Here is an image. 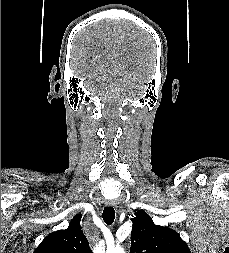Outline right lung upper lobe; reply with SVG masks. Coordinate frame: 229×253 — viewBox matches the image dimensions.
Returning a JSON list of instances; mask_svg holds the SVG:
<instances>
[{
	"mask_svg": "<svg viewBox=\"0 0 229 253\" xmlns=\"http://www.w3.org/2000/svg\"><path fill=\"white\" fill-rule=\"evenodd\" d=\"M81 215H76L66 230L46 236L34 253H92L81 229Z\"/></svg>",
	"mask_w": 229,
	"mask_h": 253,
	"instance_id": "cb5924a9",
	"label": "right lung upper lobe"
}]
</instances>
